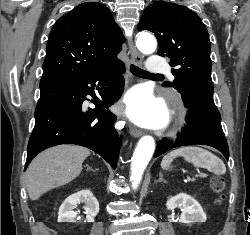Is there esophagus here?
I'll use <instances>...</instances> for the list:
<instances>
[{"mask_svg": "<svg viewBox=\"0 0 250 235\" xmlns=\"http://www.w3.org/2000/svg\"><path fill=\"white\" fill-rule=\"evenodd\" d=\"M130 54H131V62L134 64H141L142 63V56L140 53L135 49L131 40L128 41ZM131 136L133 137H140L143 133L142 130L138 127L131 125L129 130Z\"/></svg>", "mask_w": 250, "mask_h": 235, "instance_id": "34e87169", "label": "esophagus"}]
</instances>
